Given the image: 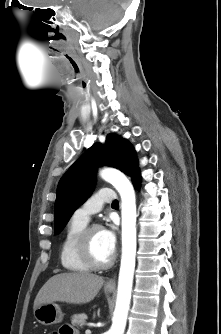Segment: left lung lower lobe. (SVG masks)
<instances>
[{
    "mask_svg": "<svg viewBox=\"0 0 221 334\" xmlns=\"http://www.w3.org/2000/svg\"><path fill=\"white\" fill-rule=\"evenodd\" d=\"M132 182H133V185L135 187H139V183H140V173L139 171L132 177Z\"/></svg>",
    "mask_w": 221,
    "mask_h": 334,
    "instance_id": "1",
    "label": "left lung lower lobe"
}]
</instances>
